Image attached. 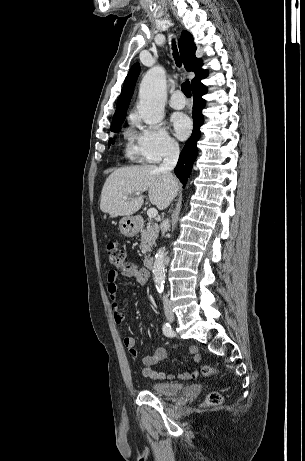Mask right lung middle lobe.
<instances>
[{
  "mask_svg": "<svg viewBox=\"0 0 305 461\" xmlns=\"http://www.w3.org/2000/svg\"><path fill=\"white\" fill-rule=\"evenodd\" d=\"M123 121H124V120L118 121V122H115V123H112V124H111L110 130H111L112 132H118V131L120 130V127H121V124L123 123ZM111 142H112V139L109 140V145L111 144ZM112 143H113V142H112Z\"/></svg>",
  "mask_w": 305,
  "mask_h": 461,
  "instance_id": "dd1d6c3e",
  "label": "right lung middle lobe"
}]
</instances>
